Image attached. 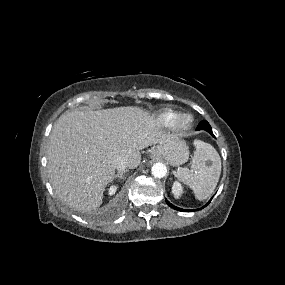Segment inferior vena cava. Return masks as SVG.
Segmentation results:
<instances>
[{
  "label": "inferior vena cava",
  "mask_w": 285,
  "mask_h": 285,
  "mask_svg": "<svg viewBox=\"0 0 285 285\" xmlns=\"http://www.w3.org/2000/svg\"><path fill=\"white\" fill-rule=\"evenodd\" d=\"M129 162L123 158V157H117L114 160V167L118 170H125L127 167H129Z\"/></svg>",
  "instance_id": "inferior-vena-cava-1"
}]
</instances>
